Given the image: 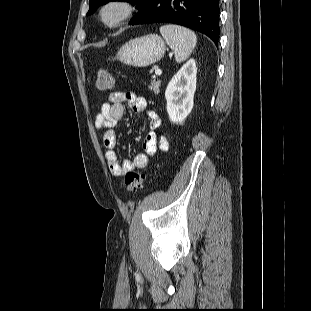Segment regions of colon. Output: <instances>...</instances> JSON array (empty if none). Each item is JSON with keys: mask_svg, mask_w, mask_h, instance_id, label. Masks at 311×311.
Here are the masks:
<instances>
[{"mask_svg": "<svg viewBox=\"0 0 311 311\" xmlns=\"http://www.w3.org/2000/svg\"><path fill=\"white\" fill-rule=\"evenodd\" d=\"M114 85V77L107 68L99 69L97 72L96 88L101 92L112 89ZM145 173L137 171H129L125 175V188L128 193H135L141 188Z\"/></svg>", "mask_w": 311, "mask_h": 311, "instance_id": "5ec220e1", "label": "colon"}]
</instances>
